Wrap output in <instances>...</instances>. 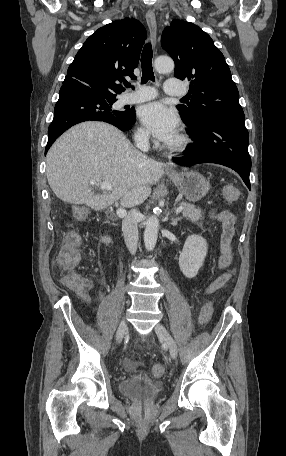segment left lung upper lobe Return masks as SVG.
I'll return each instance as SVG.
<instances>
[{"instance_id": "obj_1", "label": "left lung upper lobe", "mask_w": 286, "mask_h": 456, "mask_svg": "<svg viewBox=\"0 0 286 456\" xmlns=\"http://www.w3.org/2000/svg\"><path fill=\"white\" fill-rule=\"evenodd\" d=\"M161 43L175 62V77L190 81V102L177 105L189 127L207 117L245 122L230 69L206 32L193 23L173 20L163 31Z\"/></svg>"}]
</instances>
